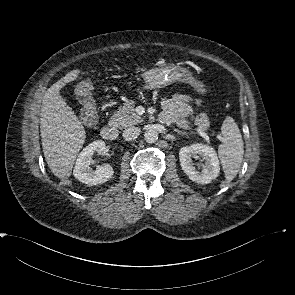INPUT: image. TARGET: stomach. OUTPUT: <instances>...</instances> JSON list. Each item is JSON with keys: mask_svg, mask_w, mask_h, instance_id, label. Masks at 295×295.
<instances>
[{"mask_svg": "<svg viewBox=\"0 0 295 295\" xmlns=\"http://www.w3.org/2000/svg\"><path fill=\"white\" fill-rule=\"evenodd\" d=\"M144 86L146 90H153L168 86L175 82L190 84L194 90L201 95L207 90L203 82L195 78L188 68L176 65L163 66L147 70L143 74Z\"/></svg>", "mask_w": 295, "mask_h": 295, "instance_id": "0dacf381", "label": "stomach"}]
</instances>
